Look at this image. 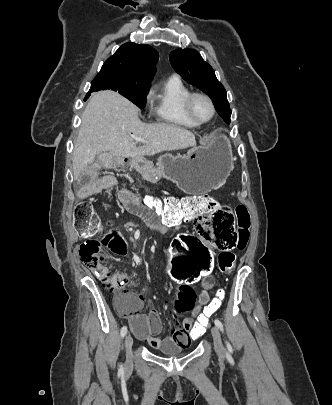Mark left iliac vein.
Segmentation results:
<instances>
[{
  "label": "left iliac vein",
  "mask_w": 332,
  "mask_h": 405,
  "mask_svg": "<svg viewBox=\"0 0 332 405\" xmlns=\"http://www.w3.org/2000/svg\"><path fill=\"white\" fill-rule=\"evenodd\" d=\"M213 341H214V348L216 353L223 357L225 355V349L221 340V335L217 326L212 327L211 329Z\"/></svg>",
  "instance_id": "left-iliac-vein-1"
}]
</instances>
